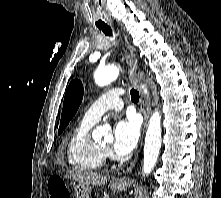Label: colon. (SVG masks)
I'll list each match as a JSON object with an SVG mask.
<instances>
[{"mask_svg":"<svg viewBox=\"0 0 221 198\" xmlns=\"http://www.w3.org/2000/svg\"><path fill=\"white\" fill-rule=\"evenodd\" d=\"M49 198H70V194L64 181L58 177H52L48 181Z\"/></svg>","mask_w":221,"mask_h":198,"instance_id":"1","label":"colon"}]
</instances>
